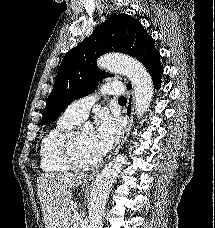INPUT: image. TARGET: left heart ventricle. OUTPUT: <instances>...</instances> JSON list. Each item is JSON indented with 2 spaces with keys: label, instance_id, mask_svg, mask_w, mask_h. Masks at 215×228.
<instances>
[{
  "label": "left heart ventricle",
  "instance_id": "1",
  "mask_svg": "<svg viewBox=\"0 0 215 228\" xmlns=\"http://www.w3.org/2000/svg\"><path fill=\"white\" fill-rule=\"evenodd\" d=\"M93 134L92 128L84 126L77 137L74 151L82 163H92L101 157L95 149Z\"/></svg>",
  "mask_w": 215,
  "mask_h": 228
}]
</instances>
